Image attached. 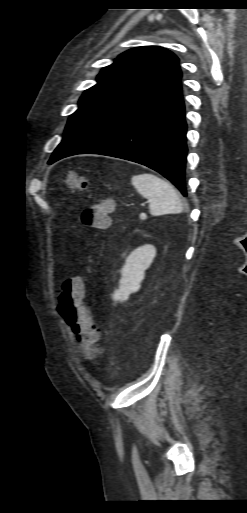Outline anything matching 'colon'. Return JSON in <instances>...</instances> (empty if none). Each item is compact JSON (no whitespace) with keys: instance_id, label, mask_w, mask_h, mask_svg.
Here are the masks:
<instances>
[{"instance_id":"colon-1","label":"colon","mask_w":247,"mask_h":513,"mask_svg":"<svg viewBox=\"0 0 247 513\" xmlns=\"http://www.w3.org/2000/svg\"><path fill=\"white\" fill-rule=\"evenodd\" d=\"M69 184L81 191L87 189L85 179L77 175L70 176ZM113 210V205L108 201L98 202L83 211L82 221L87 227L104 230L110 226ZM85 291V282L81 276L66 279L59 293L58 309L77 340L84 346V358L97 361L102 356V349L97 344L99 330L90 309L84 304Z\"/></svg>"}]
</instances>
